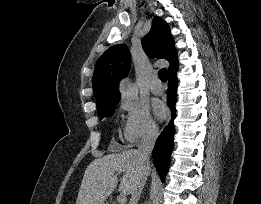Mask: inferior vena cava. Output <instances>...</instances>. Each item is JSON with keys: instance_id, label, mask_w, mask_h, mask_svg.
Instances as JSON below:
<instances>
[{"instance_id": "1", "label": "inferior vena cava", "mask_w": 261, "mask_h": 204, "mask_svg": "<svg viewBox=\"0 0 261 204\" xmlns=\"http://www.w3.org/2000/svg\"><path fill=\"white\" fill-rule=\"evenodd\" d=\"M158 135H159L158 128L150 127L143 135L141 142L138 145L137 152H138L140 166L142 169V175L134 191L131 193V199L129 204H137L138 199L142 193L150 169L149 156L153 150Z\"/></svg>"}]
</instances>
